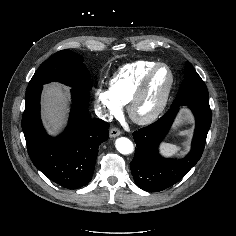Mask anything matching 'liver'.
I'll list each match as a JSON object with an SVG mask.
<instances>
[{
    "label": "liver",
    "instance_id": "liver-1",
    "mask_svg": "<svg viewBox=\"0 0 236 236\" xmlns=\"http://www.w3.org/2000/svg\"><path fill=\"white\" fill-rule=\"evenodd\" d=\"M67 87L53 83L45 86L42 97L43 120L51 133L59 132L67 114Z\"/></svg>",
    "mask_w": 236,
    "mask_h": 236
}]
</instances>
